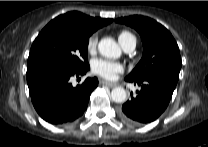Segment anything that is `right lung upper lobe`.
<instances>
[{
  "label": "right lung upper lobe",
  "mask_w": 208,
  "mask_h": 147,
  "mask_svg": "<svg viewBox=\"0 0 208 147\" xmlns=\"http://www.w3.org/2000/svg\"><path fill=\"white\" fill-rule=\"evenodd\" d=\"M112 21L113 20L109 18L108 19L93 18L83 13L72 11L56 17L55 19L50 21V23L47 26L67 25V26L77 27L85 31H88L90 33H93L97 29L105 25H108Z\"/></svg>",
  "instance_id": "obj_1"
}]
</instances>
